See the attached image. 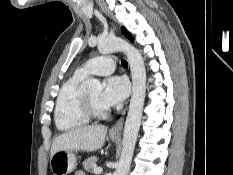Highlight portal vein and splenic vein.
<instances>
[{"instance_id": "18ae733b", "label": "portal vein and splenic vein", "mask_w": 233, "mask_h": 175, "mask_svg": "<svg viewBox=\"0 0 233 175\" xmlns=\"http://www.w3.org/2000/svg\"><path fill=\"white\" fill-rule=\"evenodd\" d=\"M102 171H103V169L101 167H95L94 168V173L95 174H100V173H102Z\"/></svg>"}]
</instances>
